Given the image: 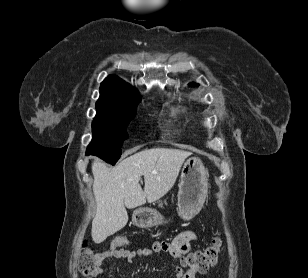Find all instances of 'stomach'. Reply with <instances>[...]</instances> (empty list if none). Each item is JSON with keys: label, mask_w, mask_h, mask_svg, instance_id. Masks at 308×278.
I'll list each match as a JSON object with an SVG mask.
<instances>
[{"label": "stomach", "mask_w": 308, "mask_h": 278, "mask_svg": "<svg viewBox=\"0 0 308 278\" xmlns=\"http://www.w3.org/2000/svg\"><path fill=\"white\" fill-rule=\"evenodd\" d=\"M208 193V172L199 158H189L183 165L178 191V214L184 220L195 217ZM134 223L142 228L163 224V216L155 209L141 208L134 212Z\"/></svg>", "instance_id": "stomach-1"}]
</instances>
